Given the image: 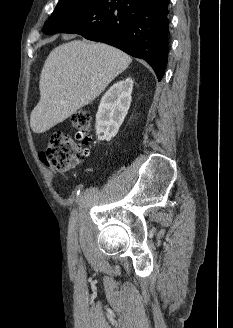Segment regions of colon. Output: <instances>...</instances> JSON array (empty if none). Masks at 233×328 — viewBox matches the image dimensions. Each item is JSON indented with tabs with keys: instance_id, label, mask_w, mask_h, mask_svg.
I'll list each match as a JSON object with an SVG mask.
<instances>
[{
	"instance_id": "obj_1",
	"label": "colon",
	"mask_w": 233,
	"mask_h": 328,
	"mask_svg": "<svg viewBox=\"0 0 233 328\" xmlns=\"http://www.w3.org/2000/svg\"><path fill=\"white\" fill-rule=\"evenodd\" d=\"M75 132L74 140L68 133L58 131L48 141L46 149L41 152L42 162L55 171H67L80 164L90 151L91 114L79 110L70 119Z\"/></svg>"
}]
</instances>
